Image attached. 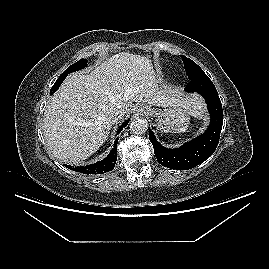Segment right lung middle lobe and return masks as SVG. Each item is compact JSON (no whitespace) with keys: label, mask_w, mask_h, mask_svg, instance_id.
Instances as JSON below:
<instances>
[{"label":"right lung middle lobe","mask_w":269,"mask_h":269,"mask_svg":"<svg viewBox=\"0 0 269 269\" xmlns=\"http://www.w3.org/2000/svg\"><path fill=\"white\" fill-rule=\"evenodd\" d=\"M87 62V59H80L78 62L69 66L61 75H68L69 73H72L74 71L81 70L87 66Z\"/></svg>","instance_id":"dd1d6c3e"}]
</instances>
